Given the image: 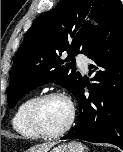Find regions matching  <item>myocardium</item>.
Returning <instances> with one entry per match:
<instances>
[{
    "label": "myocardium",
    "mask_w": 123,
    "mask_h": 152,
    "mask_svg": "<svg viewBox=\"0 0 123 152\" xmlns=\"http://www.w3.org/2000/svg\"><path fill=\"white\" fill-rule=\"evenodd\" d=\"M53 98L63 99L69 104L70 117L63 128H61L58 131L51 132V131H47L43 127L40 121V110L46 101ZM74 120H75V108L71 99L64 93L57 92V91L48 92V93L38 96L36 100L33 102V104L31 105L29 109V113H28V121H29L30 126L39 136L44 137V138H57V137L62 136L71 128Z\"/></svg>",
    "instance_id": "f54148a6"
}]
</instances>
